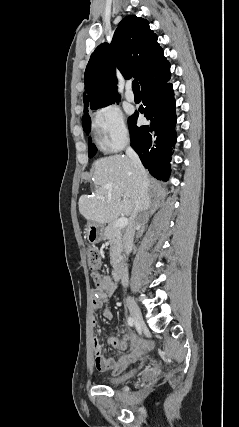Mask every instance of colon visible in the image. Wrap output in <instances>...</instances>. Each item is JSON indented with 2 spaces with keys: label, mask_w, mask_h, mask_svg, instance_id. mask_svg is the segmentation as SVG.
I'll return each mask as SVG.
<instances>
[{
  "label": "colon",
  "mask_w": 239,
  "mask_h": 427,
  "mask_svg": "<svg viewBox=\"0 0 239 427\" xmlns=\"http://www.w3.org/2000/svg\"><path fill=\"white\" fill-rule=\"evenodd\" d=\"M86 254L88 267L95 274L96 284H98L101 279L100 271L102 268V257L100 251L95 246H89L86 250Z\"/></svg>",
  "instance_id": "colon-1"
}]
</instances>
